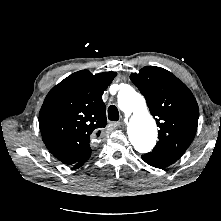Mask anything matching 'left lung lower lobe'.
Wrapping results in <instances>:
<instances>
[{"instance_id":"1","label":"left lung lower lobe","mask_w":221,"mask_h":221,"mask_svg":"<svg viewBox=\"0 0 221 221\" xmlns=\"http://www.w3.org/2000/svg\"><path fill=\"white\" fill-rule=\"evenodd\" d=\"M180 157L172 154H164L159 152H150L142 155V159L149 165L156 168H165L176 162Z\"/></svg>"}]
</instances>
